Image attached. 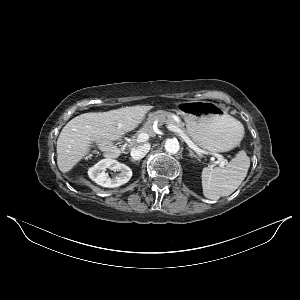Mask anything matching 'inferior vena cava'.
I'll return each instance as SVG.
<instances>
[{
	"instance_id": "inferior-vena-cava-1",
	"label": "inferior vena cava",
	"mask_w": 300,
	"mask_h": 300,
	"mask_svg": "<svg viewBox=\"0 0 300 300\" xmlns=\"http://www.w3.org/2000/svg\"><path fill=\"white\" fill-rule=\"evenodd\" d=\"M149 150L150 144L140 145L138 147L132 148L130 155L134 160H140L145 157Z\"/></svg>"
}]
</instances>
